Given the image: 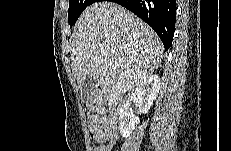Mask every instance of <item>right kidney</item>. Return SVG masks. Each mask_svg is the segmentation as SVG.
Listing matches in <instances>:
<instances>
[{
  "label": "right kidney",
  "mask_w": 231,
  "mask_h": 151,
  "mask_svg": "<svg viewBox=\"0 0 231 151\" xmlns=\"http://www.w3.org/2000/svg\"><path fill=\"white\" fill-rule=\"evenodd\" d=\"M160 85V78L157 75H151L136 87L133 100L138 106L140 113H148L159 93ZM139 122V117L135 116L129 109V106L124 104L119 112V130L121 135L124 138L130 137Z\"/></svg>",
  "instance_id": "right-kidney-1"
}]
</instances>
